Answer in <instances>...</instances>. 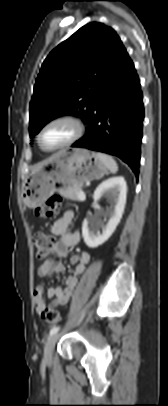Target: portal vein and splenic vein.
<instances>
[{"instance_id":"portal-vein-and-splenic-vein-1","label":"portal vein and splenic vein","mask_w":168,"mask_h":406,"mask_svg":"<svg viewBox=\"0 0 168 406\" xmlns=\"http://www.w3.org/2000/svg\"><path fill=\"white\" fill-rule=\"evenodd\" d=\"M79 197H80L81 199H85V194H84L83 191H81V192L79 193Z\"/></svg>"}]
</instances>
